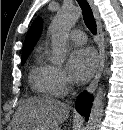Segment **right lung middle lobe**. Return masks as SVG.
<instances>
[{"label": "right lung middle lobe", "mask_w": 123, "mask_h": 130, "mask_svg": "<svg viewBox=\"0 0 123 130\" xmlns=\"http://www.w3.org/2000/svg\"><path fill=\"white\" fill-rule=\"evenodd\" d=\"M27 57H28V55L22 56V58H21V64H22V65H23V64L25 63V61L27 60Z\"/></svg>", "instance_id": "right-lung-middle-lobe-1"}]
</instances>
